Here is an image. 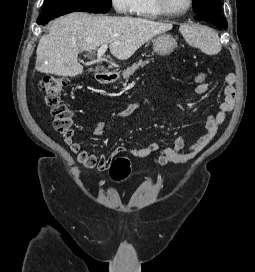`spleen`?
I'll list each match as a JSON object with an SVG mask.
<instances>
[{"label": "spleen", "instance_id": "3e777b00", "mask_svg": "<svg viewBox=\"0 0 255 272\" xmlns=\"http://www.w3.org/2000/svg\"><path fill=\"white\" fill-rule=\"evenodd\" d=\"M179 31L190 46L198 47L208 55H215L221 51L218 34L207 26L185 24L179 28Z\"/></svg>", "mask_w": 255, "mask_h": 272}]
</instances>
